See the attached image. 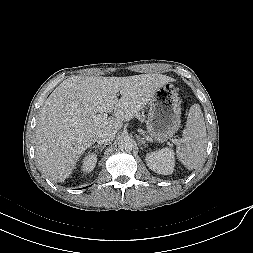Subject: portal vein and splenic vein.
<instances>
[{"label": "portal vein and splenic vein", "mask_w": 253, "mask_h": 253, "mask_svg": "<svg viewBox=\"0 0 253 253\" xmlns=\"http://www.w3.org/2000/svg\"><path fill=\"white\" fill-rule=\"evenodd\" d=\"M107 116H108V115H107V113L105 112V113H101V114L96 115V116H95V119H96V120H99V119H101V118H107ZM173 142L176 143V144H179V141H178L177 139H174Z\"/></svg>", "instance_id": "18ae733b"}]
</instances>
